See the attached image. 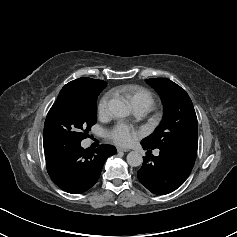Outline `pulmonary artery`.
<instances>
[{"label":"pulmonary artery","mask_w":237,"mask_h":237,"mask_svg":"<svg viewBox=\"0 0 237 237\" xmlns=\"http://www.w3.org/2000/svg\"><path fill=\"white\" fill-rule=\"evenodd\" d=\"M149 108L145 107V106H135L134 107V113L136 115V117L138 118H142L144 117L148 112H149ZM159 151H155V155H158Z\"/></svg>","instance_id":"obj_1"}]
</instances>
